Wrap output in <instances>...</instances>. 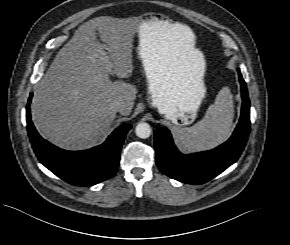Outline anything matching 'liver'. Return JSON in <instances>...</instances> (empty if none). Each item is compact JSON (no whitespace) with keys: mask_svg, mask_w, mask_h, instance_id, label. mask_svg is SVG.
Returning a JSON list of instances; mask_svg holds the SVG:
<instances>
[{"mask_svg":"<svg viewBox=\"0 0 290 245\" xmlns=\"http://www.w3.org/2000/svg\"><path fill=\"white\" fill-rule=\"evenodd\" d=\"M160 28V27H158ZM161 34L182 66L195 64L191 30L179 23H166ZM96 30L100 44L96 40ZM136 21L99 17L82 24L60 49L44 77L37 83L31 105L39 133L55 145L70 150L100 142L113 123L115 101L129 115L137 94L135 85L110 74L128 78L133 72V38Z\"/></svg>","mask_w":290,"mask_h":245,"instance_id":"1","label":"liver"}]
</instances>
